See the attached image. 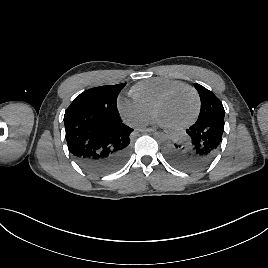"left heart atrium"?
<instances>
[{"mask_svg":"<svg viewBox=\"0 0 268 268\" xmlns=\"http://www.w3.org/2000/svg\"><path fill=\"white\" fill-rule=\"evenodd\" d=\"M157 123L162 125V126H166L165 124H163L159 119L157 120Z\"/></svg>","mask_w":268,"mask_h":268,"instance_id":"left-heart-atrium-1","label":"left heart atrium"}]
</instances>
